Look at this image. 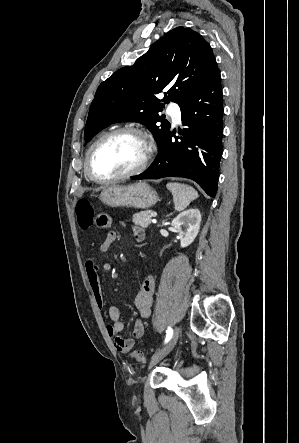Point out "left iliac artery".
I'll return each instance as SVG.
<instances>
[{
    "mask_svg": "<svg viewBox=\"0 0 299 443\" xmlns=\"http://www.w3.org/2000/svg\"><path fill=\"white\" fill-rule=\"evenodd\" d=\"M172 334H173V329L169 326L166 331L165 343H167L171 339Z\"/></svg>",
    "mask_w": 299,
    "mask_h": 443,
    "instance_id": "left-iliac-artery-1",
    "label": "left iliac artery"
}]
</instances>
